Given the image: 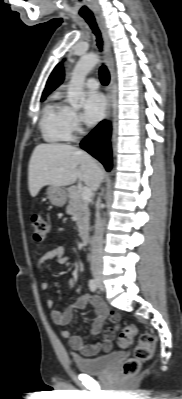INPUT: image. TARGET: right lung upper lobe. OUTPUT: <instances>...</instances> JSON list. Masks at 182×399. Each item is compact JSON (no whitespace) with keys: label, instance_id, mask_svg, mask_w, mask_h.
Returning a JSON list of instances; mask_svg holds the SVG:
<instances>
[{"label":"right lung upper lobe","instance_id":"cb5924a9","mask_svg":"<svg viewBox=\"0 0 182 399\" xmlns=\"http://www.w3.org/2000/svg\"><path fill=\"white\" fill-rule=\"evenodd\" d=\"M63 79H64L63 68L61 65H57L47 81L46 87L42 94V98H45L55 88H57L62 83Z\"/></svg>","mask_w":182,"mask_h":399}]
</instances>
